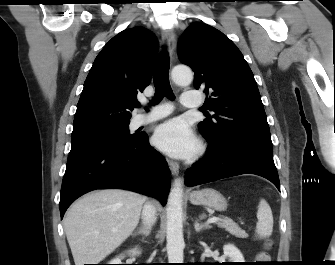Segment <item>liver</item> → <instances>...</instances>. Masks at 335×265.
<instances>
[{
    "label": "liver",
    "mask_w": 335,
    "mask_h": 265,
    "mask_svg": "<svg viewBox=\"0 0 335 265\" xmlns=\"http://www.w3.org/2000/svg\"><path fill=\"white\" fill-rule=\"evenodd\" d=\"M144 198L107 189L85 195L64 218V230L75 265L98 264L119 247L139 222Z\"/></svg>",
    "instance_id": "obj_1"
}]
</instances>
